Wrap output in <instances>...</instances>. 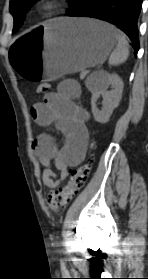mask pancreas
<instances>
[{"instance_id":"pancreas-1","label":"pancreas","mask_w":148,"mask_h":279,"mask_svg":"<svg viewBox=\"0 0 148 279\" xmlns=\"http://www.w3.org/2000/svg\"><path fill=\"white\" fill-rule=\"evenodd\" d=\"M85 75L83 74V72L80 74V79H84Z\"/></svg>"}]
</instances>
